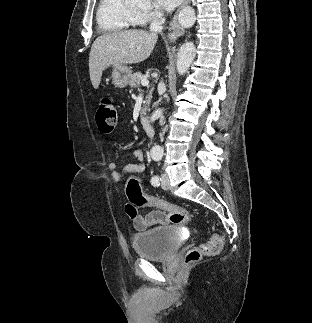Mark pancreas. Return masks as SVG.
<instances>
[{
  "label": "pancreas",
  "instance_id": "pancreas-1",
  "mask_svg": "<svg viewBox=\"0 0 312 323\" xmlns=\"http://www.w3.org/2000/svg\"><path fill=\"white\" fill-rule=\"evenodd\" d=\"M142 80H146V76H143V74H141V72H135V74H131V78L129 80L130 88H139ZM152 92H153V90H150L149 96H147L146 106H143V108L140 112L141 120H145L144 116H146L148 106L152 100Z\"/></svg>",
  "mask_w": 312,
  "mask_h": 323
}]
</instances>
